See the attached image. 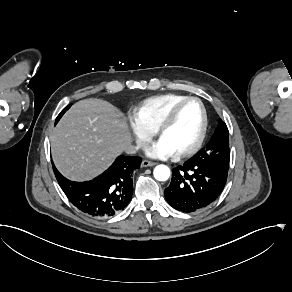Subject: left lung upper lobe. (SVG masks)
<instances>
[{"instance_id":"1","label":"left lung upper lobe","mask_w":292,"mask_h":292,"mask_svg":"<svg viewBox=\"0 0 292 292\" xmlns=\"http://www.w3.org/2000/svg\"><path fill=\"white\" fill-rule=\"evenodd\" d=\"M193 157L203 159L206 162H224L229 164V132L222 120L218 121V126L207 146Z\"/></svg>"}]
</instances>
